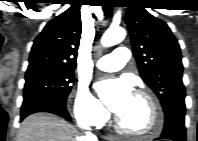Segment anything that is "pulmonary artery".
Returning <instances> with one entry per match:
<instances>
[{
  "label": "pulmonary artery",
  "instance_id": "1",
  "mask_svg": "<svg viewBox=\"0 0 198 141\" xmlns=\"http://www.w3.org/2000/svg\"><path fill=\"white\" fill-rule=\"evenodd\" d=\"M130 59V51L126 46H117L112 53L101 57L96 66L103 71H117Z\"/></svg>",
  "mask_w": 198,
  "mask_h": 141
}]
</instances>
